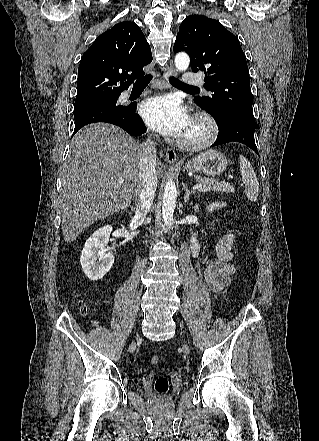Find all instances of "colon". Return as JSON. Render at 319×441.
<instances>
[{
	"instance_id": "5ec220e1",
	"label": "colon",
	"mask_w": 319,
	"mask_h": 441,
	"mask_svg": "<svg viewBox=\"0 0 319 441\" xmlns=\"http://www.w3.org/2000/svg\"><path fill=\"white\" fill-rule=\"evenodd\" d=\"M82 312L84 314L88 313V308L83 306L82 307ZM161 361V358L157 355H151L149 356V363L151 365H158ZM154 388L155 391L159 394H164L168 391L169 389V382L168 379L164 376H160L156 379L155 384H154Z\"/></svg>"
}]
</instances>
